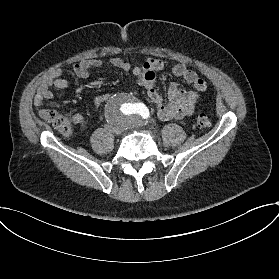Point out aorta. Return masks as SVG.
<instances>
[{
	"label": "aorta",
	"mask_w": 279,
	"mask_h": 279,
	"mask_svg": "<svg viewBox=\"0 0 279 279\" xmlns=\"http://www.w3.org/2000/svg\"><path fill=\"white\" fill-rule=\"evenodd\" d=\"M134 103L130 96L120 95L115 97L108 106V112L110 116L122 115L129 116L132 114Z\"/></svg>",
	"instance_id": "762f6f07"
}]
</instances>
